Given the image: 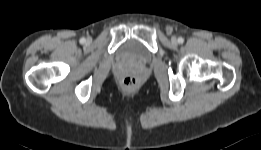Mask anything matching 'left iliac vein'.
Returning a JSON list of instances; mask_svg holds the SVG:
<instances>
[{"mask_svg": "<svg viewBox=\"0 0 261 150\" xmlns=\"http://www.w3.org/2000/svg\"><path fill=\"white\" fill-rule=\"evenodd\" d=\"M171 42H172L173 44H176V43H177L176 37L173 36V37L171 38Z\"/></svg>", "mask_w": 261, "mask_h": 150, "instance_id": "4c4485c4", "label": "left iliac vein"}]
</instances>
